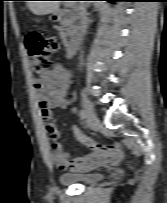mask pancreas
Here are the masks:
<instances>
[{
  "instance_id": "cf45deb5",
  "label": "pancreas",
  "mask_w": 167,
  "mask_h": 203,
  "mask_svg": "<svg viewBox=\"0 0 167 203\" xmlns=\"http://www.w3.org/2000/svg\"><path fill=\"white\" fill-rule=\"evenodd\" d=\"M76 31L75 26L71 25L69 21L62 22V28L60 30V37L65 46H67V38L72 36Z\"/></svg>"
}]
</instances>
